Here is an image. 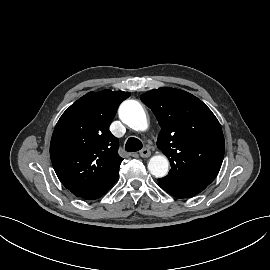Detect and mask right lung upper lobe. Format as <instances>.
I'll return each instance as SVG.
<instances>
[{
  "instance_id": "right-lung-upper-lobe-1",
  "label": "right lung upper lobe",
  "mask_w": 270,
  "mask_h": 270,
  "mask_svg": "<svg viewBox=\"0 0 270 270\" xmlns=\"http://www.w3.org/2000/svg\"><path fill=\"white\" fill-rule=\"evenodd\" d=\"M129 92H89L60 117L50 143V157L61 183L78 197L99 192L118 178L123 160L119 141L108 130Z\"/></svg>"
}]
</instances>
